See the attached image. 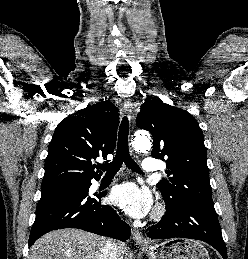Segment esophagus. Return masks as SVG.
<instances>
[{
    "label": "esophagus",
    "mask_w": 248,
    "mask_h": 259,
    "mask_svg": "<svg viewBox=\"0 0 248 259\" xmlns=\"http://www.w3.org/2000/svg\"><path fill=\"white\" fill-rule=\"evenodd\" d=\"M124 111L128 114V118L130 122H134L135 120V113L133 103L130 98L125 99L123 104ZM133 240L138 244H147L148 241L143 237L142 233L138 230H133Z\"/></svg>",
    "instance_id": "34e87169"
}]
</instances>
